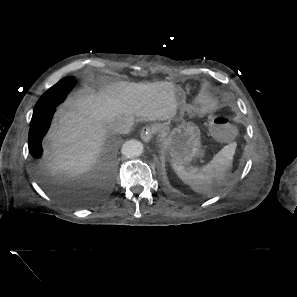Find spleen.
<instances>
[{"mask_svg":"<svg viewBox=\"0 0 297 297\" xmlns=\"http://www.w3.org/2000/svg\"><path fill=\"white\" fill-rule=\"evenodd\" d=\"M235 149V142L224 146V148L202 168L193 167L185 169L183 166L173 164V169L178 177L195 192L212 194L225 183Z\"/></svg>","mask_w":297,"mask_h":297,"instance_id":"3e777b00","label":"spleen"}]
</instances>
